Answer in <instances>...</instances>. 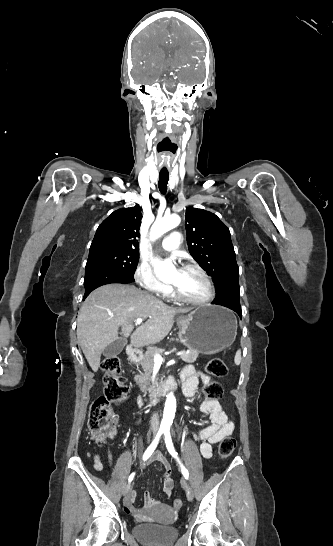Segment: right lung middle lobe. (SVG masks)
<instances>
[{
    "label": "right lung middle lobe",
    "mask_w": 333,
    "mask_h": 546,
    "mask_svg": "<svg viewBox=\"0 0 333 546\" xmlns=\"http://www.w3.org/2000/svg\"><path fill=\"white\" fill-rule=\"evenodd\" d=\"M139 252L119 248H101L89 252L86 269L104 267L134 276Z\"/></svg>",
    "instance_id": "dd1d6c3e"
}]
</instances>
